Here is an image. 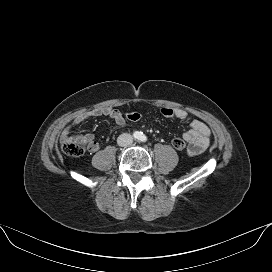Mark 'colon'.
Returning <instances> with one entry per match:
<instances>
[{"label": "colon", "mask_w": 272, "mask_h": 272, "mask_svg": "<svg viewBox=\"0 0 272 272\" xmlns=\"http://www.w3.org/2000/svg\"><path fill=\"white\" fill-rule=\"evenodd\" d=\"M160 113L165 118H173L175 117V112L173 108L163 107L160 109ZM126 119L130 122H138L142 119V114L138 111H132L126 114ZM172 145L176 150H184L186 148V143L181 138H175L172 141ZM62 150L65 154L72 157L81 156L84 152V148L73 141L66 142L62 145Z\"/></svg>", "instance_id": "obj_1"}]
</instances>
